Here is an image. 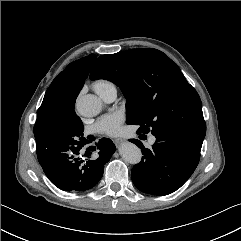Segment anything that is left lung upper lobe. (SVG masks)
Wrapping results in <instances>:
<instances>
[{
	"label": "left lung upper lobe",
	"mask_w": 241,
	"mask_h": 241,
	"mask_svg": "<svg viewBox=\"0 0 241 241\" xmlns=\"http://www.w3.org/2000/svg\"><path fill=\"white\" fill-rule=\"evenodd\" d=\"M90 79H106L120 87L127 99L126 123L139 125L138 133L175 132L204 139L200 97L163 52L143 48L102 55Z\"/></svg>",
	"instance_id": "5c2ea615"
}]
</instances>
